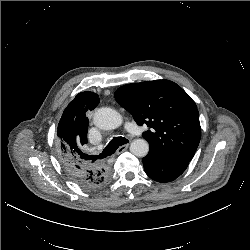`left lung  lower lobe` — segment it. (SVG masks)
<instances>
[{"label": "left lung lower lobe", "mask_w": 250, "mask_h": 250, "mask_svg": "<svg viewBox=\"0 0 250 250\" xmlns=\"http://www.w3.org/2000/svg\"><path fill=\"white\" fill-rule=\"evenodd\" d=\"M142 160L146 174L158 182L175 180L189 164L185 161L168 160L152 153H148Z\"/></svg>", "instance_id": "left-lung-lower-lobe-1"}]
</instances>
